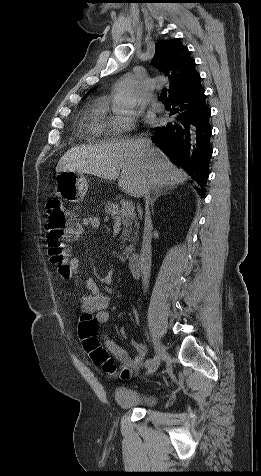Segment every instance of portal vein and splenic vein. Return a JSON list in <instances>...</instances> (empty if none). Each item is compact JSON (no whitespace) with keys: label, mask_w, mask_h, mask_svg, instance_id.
<instances>
[{"label":"portal vein and splenic vein","mask_w":261,"mask_h":476,"mask_svg":"<svg viewBox=\"0 0 261 476\" xmlns=\"http://www.w3.org/2000/svg\"><path fill=\"white\" fill-rule=\"evenodd\" d=\"M134 205L132 202L125 200L122 202V208H121V215L126 216V215H131L134 213Z\"/></svg>","instance_id":"18ae733b"}]
</instances>
